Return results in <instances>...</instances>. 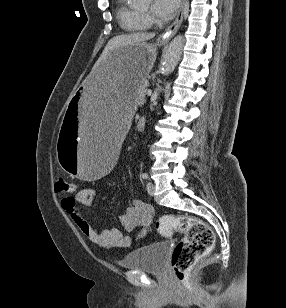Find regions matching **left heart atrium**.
Wrapping results in <instances>:
<instances>
[{"instance_id": "1", "label": "left heart atrium", "mask_w": 286, "mask_h": 308, "mask_svg": "<svg viewBox=\"0 0 286 308\" xmlns=\"http://www.w3.org/2000/svg\"><path fill=\"white\" fill-rule=\"evenodd\" d=\"M179 0H153L152 13L161 19L171 18L178 6Z\"/></svg>"}]
</instances>
